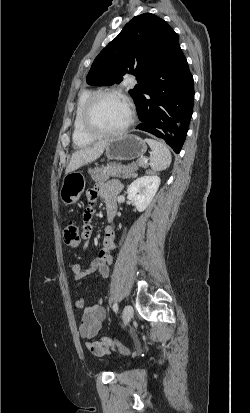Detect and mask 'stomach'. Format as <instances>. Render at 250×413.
Here are the masks:
<instances>
[{
  "label": "stomach",
  "instance_id": "stomach-1",
  "mask_svg": "<svg viewBox=\"0 0 250 413\" xmlns=\"http://www.w3.org/2000/svg\"><path fill=\"white\" fill-rule=\"evenodd\" d=\"M147 150L144 140L136 135H123L107 141L105 154L109 160H133L142 157ZM85 188V179L78 172L66 174L63 178L60 199L65 205L74 204Z\"/></svg>",
  "mask_w": 250,
  "mask_h": 413
}]
</instances>
